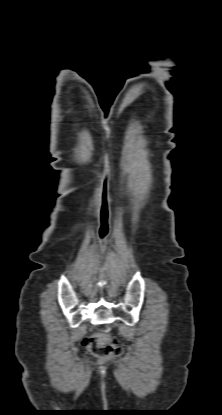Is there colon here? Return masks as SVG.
<instances>
[{
  "instance_id": "5ec220e1",
  "label": "colon",
  "mask_w": 222,
  "mask_h": 415,
  "mask_svg": "<svg viewBox=\"0 0 222 415\" xmlns=\"http://www.w3.org/2000/svg\"><path fill=\"white\" fill-rule=\"evenodd\" d=\"M81 343L89 352L99 357L112 356L122 351L118 340L110 334L86 336Z\"/></svg>"
}]
</instances>
